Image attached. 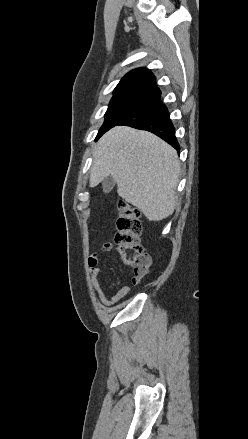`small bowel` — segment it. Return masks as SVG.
<instances>
[{"label": "small bowel", "mask_w": 248, "mask_h": 439, "mask_svg": "<svg viewBox=\"0 0 248 439\" xmlns=\"http://www.w3.org/2000/svg\"><path fill=\"white\" fill-rule=\"evenodd\" d=\"M113 249V245L111 243L104 244L102 247V251L109 252ZM100 262V254L99 253H92L89 256L88 259V265L90 268V277H91V284L93 287V290L100 301L101 304L104 306H112L116 303H118L120 300L125 298L131 291L130 285H124L120 287L116 292L111 294L109 297H107L100 285L98 276L101 273V268L99 266ZM139 281H137L134 277L132 278V284L136 285Z\"/></svg>", "instance_id": "1"}]
</instances>
